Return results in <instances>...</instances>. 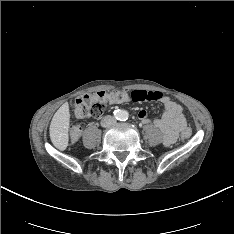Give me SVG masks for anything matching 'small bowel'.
Returning <instances> with one entry per match:
<instances>
[{"mask_svg": "<svg viewBox=\"0 0 234 234\" xmlns=\"http://www.w3.org/2000/svg\"><path fill=\"white\" fill-rule=\"evenodd\" d=\"M127 101H130V99H126L123 102ZM158 101L162 103L164 112L160 118L153 121V124L163 132L164 145L169 146L176 141L178 134L186 128V120L182 107L171 98L161 94ZM138 117L144 124L151 122L145 110H140Z\"/></svg>", "mask_w": 234, "mask_h": 234, "instance_id": "c3829d8e", "label": "small bowel"}]
</instances>
